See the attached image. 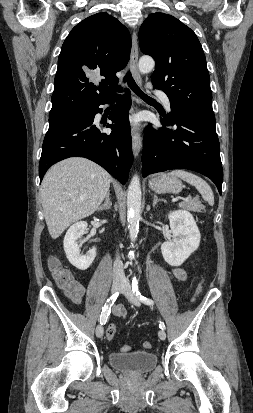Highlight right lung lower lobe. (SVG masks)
Here are the masks:
<instances>
[{"instance_id":"1","label":"right lung lower lobe","mask_w":253,"mask_h":413,"mask_svg":"<svg viewBox=\"0 0 253 413\" xmlns=\"http://www.w3.org/2000/svg\"><path fill=\"white\" fill-rule=\"evenodd\" d=\"M129 95V90H126L110 113L109 119L113 124L106 125L112 129L110 134L101 132L93 121L95 115L102 112L99 105L108 103L112 95L86 108L81 117L49 127L42 145L40 181L54 163L68 157H85L125 184L133 163L128 120L131 106Z\"/></svg>"}]
</instances>
